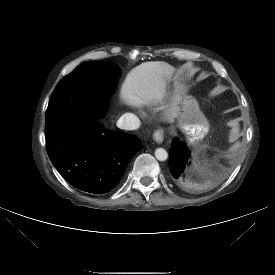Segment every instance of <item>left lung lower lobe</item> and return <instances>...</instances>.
<instances>
[{
	"label": "left lung lower lobe",
	"instance_id": "left-lung-lower-lobe-1",
	"mask_svg": "<svg viewBox=\"0 0 275 275\" xmlns=\"http://www.w3.org/2000/svg\"><path fill=\"white\" fill-rule=\"evenodd\" d=\"M169 154V169L172 179L176 183L184 185V180L187 182V179H185V168L189 160V151L182 142L174 140Z\"/></svg>",
	"mask_w": 275,
	"mask_h": 275
}]
</instances>
